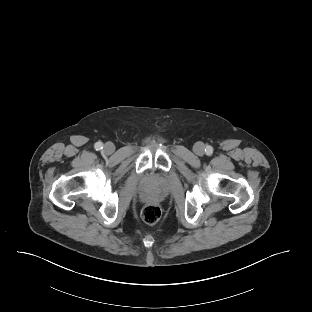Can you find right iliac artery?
I'll return each mask as SVG.
<instances>
[{"mask_svg": "<svg viewBox=\"0 0 312 312\" xmlns=\"http://www.w3.org/2000/svg\"><path fill=\"white\" fill-rule=\"evenodd\" d=\"M95 149L96 150H101V149H103V143L102 142H97V143H95Z\"/></svg>", "mask_w": 312, "mask_h": 312, "instance_id": "1", "label": "right iliac artery"}]
</instances>
